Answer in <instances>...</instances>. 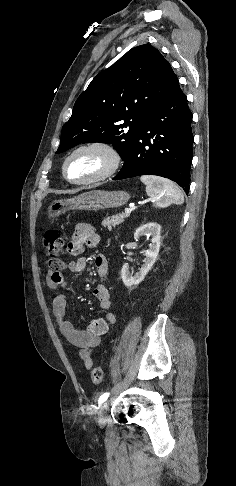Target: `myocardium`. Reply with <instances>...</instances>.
<instances>
[{
    "label": "myocardium",
    "mask_w": 236,
    "mask_h": 486,
    "mask_svg": "<svg viewBox=\"0 0 236 486\" xmlns=\"http://www.w3.org/2000/svg\"><path fill=\"white\" fill-rule=\"evenodd\" d=\"M99 150L103 152L106 157H107V166L106 168L99 174L85 179V180H73L68 176L67 173V166L69 161L79 152L84 151V150ZM122 162V157L118 149L113 146L112 144L104 141H93V142H88L85 144H82L78 147H76L74 150H72L68 156L65 158L63 167H62V173L64 178L71 184L74 185H90L94 183L101 182L105 179L110 178L113 176L117 170L119 169L120 165Z\"/></svg>",
    "instance_id": "1"
}]
</instances>
